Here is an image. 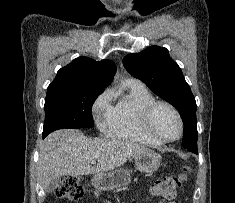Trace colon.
<instances>
[{
    "mask_svg": "<svg viewBox=\"0 0 235 203\" xmlns=\"http://www.w3.org/2000/svg\"><path fill=\"white\" fill-rule=\"evenodd\" d=\"M188 169L178 176L162 177L155 181L151 187L153 195L171 201L177 195V190L181 187L182 183L186 180ZM56 196L60 198H67L69 200H79L84 195V188L79 179L75 175H66L63 178L62 184L57 187Z\"/></svg>",
    "mask_w": 235,
    "mask_h": 203,
    "instance_id": "colon-1",
    "label": "colon"
}]
</instances>
